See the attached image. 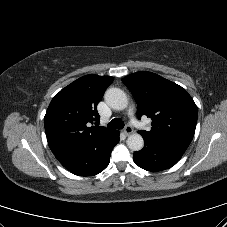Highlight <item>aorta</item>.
Segmentation results:
<instances>
[{
    "label": "aorta",
    "instance_id": "aorta-1",
    "mask_svg": "<svg viewBox=\"0 0 227 227\" xmlns=\"http://www.w3.org/2000/svg\"><path fill=\"white\" fill-rule=\"evenodd\" d=\"M107 105L115 110H123L128 105L124 91L119 88H109L104 95ZM127 146L132 151H140L144 146L143 137L138 133L131 134L127 139Z\"/></svg>",
    "mask_w": 227,
    "mask_h": 227
}]
</instances>
